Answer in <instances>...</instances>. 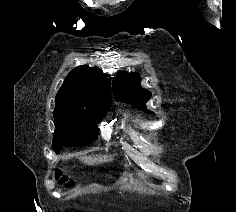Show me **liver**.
<instances>
[{"label":"liver","instance_id":"obj_1","mask_svg":"<svg viewBox=\"0 0 236 212\" xmlns=\"http://www.w3.org/2000/svg\"><path fill=\"white\" fill-rule=\"evenodd\" d=\"M112 156H101V155H98V156H86V157H81L80 160L86 164V165H98V164H102L106 161H110L112 160Z\"/></svg>","mask_w":236,"mask_h":212}]
</instances>
